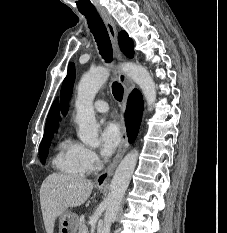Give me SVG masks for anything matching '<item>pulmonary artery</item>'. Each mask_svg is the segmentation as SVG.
Returning <instances> with one entry per match:
<instances>
[{"label":"pulmonary artery","mask_w":227,"mask_h":233,"mask_svg":"<svg viewBox=\"0 0 227 233\" xmlns=\"http://www.w3.org/2000/svg\"><path fill=\"white\" fill-rule=\"evenodd\" d=\"M94 109L97 113L105 114L109 110V106L106 101L103 100H97L94 103Z\"/></svg>","instance_id":"1"}]
</instances>
